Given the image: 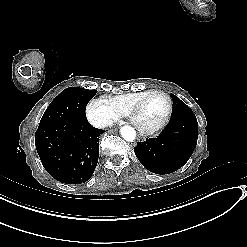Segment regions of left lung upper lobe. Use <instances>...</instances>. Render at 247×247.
<instances>
[{"mask_svg":"<svg viewBox=\"0 0 247 247\" xmlns=\"http://www.w3.org/2000/svg\"><path fill=\"white\" fill-rule=\"evenodd\" d=\"M173 99V115L172 117H176L179 115H185V114H194L193 111L178 97L171 94Z\"/></svg>","mask_w":247,"mask_h":247,"instance_id":"5c2ea615","label":"left lung upper lobe"}]
</instances>
